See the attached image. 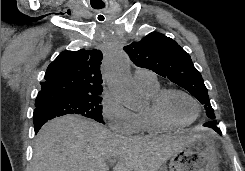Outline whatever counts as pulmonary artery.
Wrapping results in <instances>:
<instances>
[{
	"label": "pulmonary artery",
	"instance_id": "pulmonary-artery-1",
	"mask_svg": "<svg viewBox=\"0 0 245 171\" xmlns=\"http://www.w3.org/2000/svg\"><path fill=\"white\" fill-rule=\"evenodd\" d=\"M133 77L138 86L153 85L157 82L155 73L144 68H137L133 73Z\"/></svg>",
	"mask_w": 245,
	"mask_h": 171
}]
</instances>
